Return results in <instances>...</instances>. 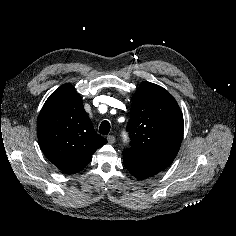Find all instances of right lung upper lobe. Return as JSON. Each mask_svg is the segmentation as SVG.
I'll return each mask as SVG.
<instances>
[{
  "instance_id": "cb5924a9",
  "label": "right lung upper lobe",
  "mask_w": 236,
  "mask_h": 236,
  "mask_svg": "<svg viewBox=\"0 0 236 236\" xmlns=\"http://www.w3.org/2000/svg\"><path fill=\"white\" fill-rule=\"evenodd\" d=\"M37 136L47 159L66 174L81 171L107 143L95 132L80 96L69 83L46 100L38 116Z\"/></svg>"
}]
</instances>
